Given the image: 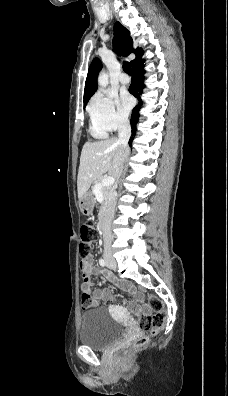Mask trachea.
I'll list each match as a JSON object with an SVG mask.
<instances>
[{
    "label": "trachea",
    "instance_id": "trachea-1",
    "mask_svg": "<svg viewBox=\"0 0 228 396\" xmlns=\"http://www.w3.org/2000/svg\"><path fill=\"white\" fill-rule=\"evenodd\" d=\"M123 70H124L127 74L131 75V67H130V64H129L128 62H124V63H123Z\"/></svg>",
    "mask_w": 228,
    "mask_h": 396
}]
</instances>
